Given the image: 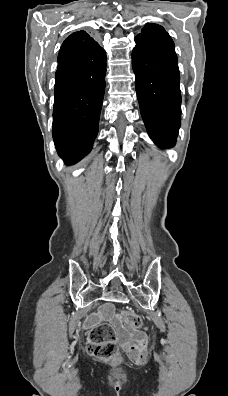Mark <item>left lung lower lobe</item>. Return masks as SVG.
I'll use <instances>...</instances> for the list:
<instances>
[{
    "instance_id": "obj_1",
    "label": "left lung lower lobe",
    "mask_w": 228,
    "mask_h": 396,
    "mask_svg": "<svg viewBox=\"0 0 228 396\" xmlns=\"http://www.w3.org/2000/svg\"><path fill=\"white\" fill-rule=\"evenodd\" d=\"M135 42L132 65L143 121L156 144L173 147L181 125L180 75L174 42L161 26L138 34Z\"/></svg>"
}]
</instances>
